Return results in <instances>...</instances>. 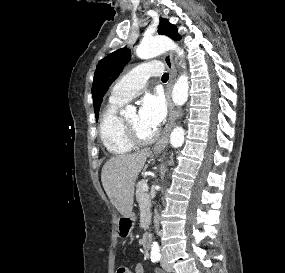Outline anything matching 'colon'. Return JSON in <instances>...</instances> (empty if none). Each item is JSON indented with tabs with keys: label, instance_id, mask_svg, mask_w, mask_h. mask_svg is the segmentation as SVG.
I'll use <instances>...</instances> for the list:
<instances>
[{
	"label": "colon",
	"instance_id": "obj_1",
	"mask_svg": "<svg viewBox=\"0 0 285 273\" xmlns=\"http://www.w3.org/2000/svg\"><path fill=\"white\" fill-rule=\"evenodd\" d=\"M116 273H129V270L126 267H119Z\"/></svg>",
	"mask_w": 285,
	"mask_h": 273
}]
</instances>
